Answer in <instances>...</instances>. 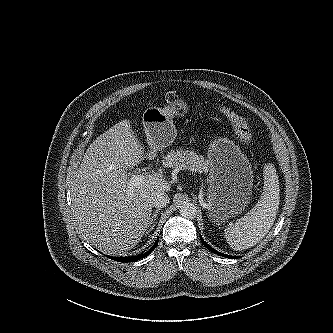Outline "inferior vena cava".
<instances>
[{
  "instance_id": "1",
  "label": "inferior vena cava",
  "mask_w": 333,
  "mask_h": 333,
  "mask_svg": "<svg viewBox=\"0 0 333 333\" xmlns=\"http://www.w3.org/2000/svg\"><path fill=\"white\" fill-rule=\"evenodd\" d=\"M169 203L168 195L165 192H157L152 198V204L156 208L165 207Z\"/></svg>"
}]
</instances>
